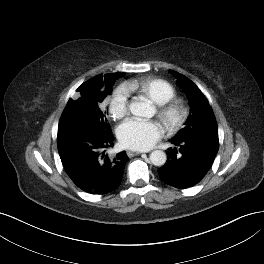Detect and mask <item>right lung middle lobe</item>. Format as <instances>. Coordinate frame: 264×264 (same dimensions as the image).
Listing matches in <instances>:
<instances>
[{
	"label": "right lung middle lobe",
	"instance_id": "1",
	"mask_svg": "<svg viewBox=\"0 0 264 264\" xmlns=\"http://www.w3.org/2000/svg\"><path fill=\"white\" fill-rule=\"evenodd\" d=\"M124 74L103 82L83 83L77 91L79 98L70 99L61 116L57 139L67 138L70 134L88 129H97L101 133L112 132L107 124L106 111L101 109L102 100L112 92L114 81Z\"/></svg>",
	"mask_w": 264,
	"mask_h": 264
}]
</instances>
